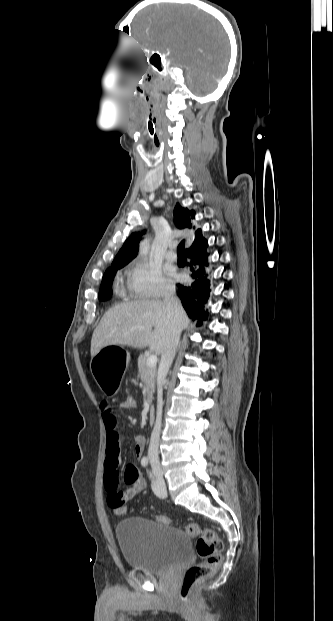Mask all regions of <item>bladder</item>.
Returning <instances> with one entry per match:
<instances>
[{
    "mask_svg": "<svg viewBox=\"0 0 333 621\" xmlns=\"http://www.w3.org/2000/svg\"><path fill=\"white\" fill-rule=\"evenodd\" d=\"M116 538L127 565L149 574L169 573L190 553L188 536L156 519H124L116 526Z\"/></svg>",
    "mask_w": 333,
    "mask_h": 621,
    "instance_id": "31cf9c89",
    "label": "bladder"
}]
</instances>
